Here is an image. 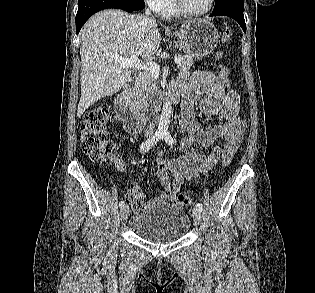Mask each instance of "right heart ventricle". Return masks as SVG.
<instances>
[{
	"mask_svg": "<svg viewBox=\"0 0 315 293\" xmlns=\"http://www.w3.org/2000/svg\"><path fill=\"white\" fill-rule=\"evenodd\" d=\"M164 17H177L180 13L176 10L173 0H166L164 7L161 10Z\"/></svg>",
	"mask_w": 315,
	"mask_h": 293,
	"instance_id": "obj_1",
	"label": "right heart ventricle"
}]
</instances>
